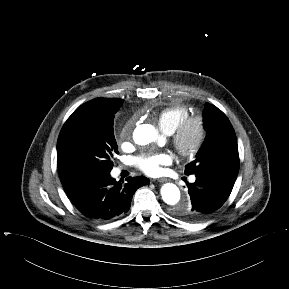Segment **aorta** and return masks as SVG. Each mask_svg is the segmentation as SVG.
Returning <instances> with one entry per match:
<instances>
[{"instance_id":"1","label":"aorta","mask_w":289,"mask_h":289,"mask_svg":"<svg viewBox=\"0 0 289 289\" xmlns=\"http://www.w3.org/2000/svg\"><path fill=\"white\" fill-rule=\"evenodd\" d=\"M134 141L138 145H147L155 141L158 137L156 129L152 125H141L136 128ZM161 196L163 201L172 206L175 213L186 211L189 208L187 201L181 203V193L179 188L173 183H166L161 188Z\"/></svg>"}]
</instances>
